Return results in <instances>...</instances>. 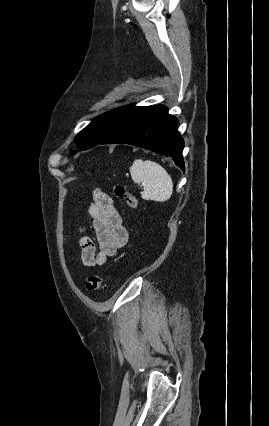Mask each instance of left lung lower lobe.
I'll list each match as a JSON object with an SVG mask.
<instances>
[{"label":"left lung lower lobe","mask_w":269,"mask_h":426,"mask_svg":"<svg viewBox=\"0 0 269 426\" xmlns=\"http://www.w3.org/2000/svg\"><path fill=\"white\" fill-rule=\"evenodd\" d=\"M177 118L165 106L124 107L108 135L99 144L123 143L170 156L185 169L184 140L177 131Z\"/></svg>","instance_id":"0a47b994"}]
</instances>
